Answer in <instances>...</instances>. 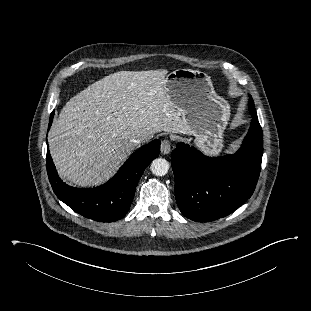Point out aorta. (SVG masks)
<instances>
[{
    "label": "aorta",
    "instance_id": "obj_1",
    "mask_svg": "<svg viewBox=\"0 0 311 311\" xmlns=\"http://www.w3.org/2000/svg\"><path fill=\"white\" fill-rule=\"evenodd\" d=\"M151 171L156 176H164L168 173L169 162L163 158H157L151 163Z\"/></svg>",
    "mask_w": 311,
    "mask_h": 311
}]
</instances>
